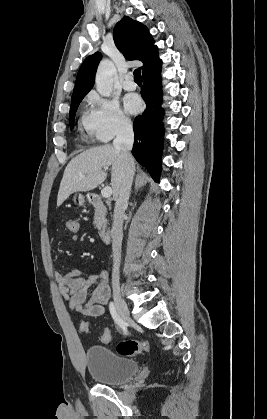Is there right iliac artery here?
<instances>
[{
	"instance_id": "82829eb1",
	"label": "right iliac artery",
	"mask_w": 267,
	"mask_h": 419,
	"mask_svg": "<svg viewBox=\"0 0 267 419\" xmlns=\"http://www.w3.org/2000/svg\"><path fill=\"white\" fill-rule=\"evenodd\" d=\"M109 310L111 313L112 318L114 319L115 323L123 330L124 334L127 335V328L126 323L122 320L118 312L116 311L115 305L113 302L109 304Z\"/></svg>"
}]
</instances>
